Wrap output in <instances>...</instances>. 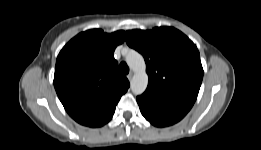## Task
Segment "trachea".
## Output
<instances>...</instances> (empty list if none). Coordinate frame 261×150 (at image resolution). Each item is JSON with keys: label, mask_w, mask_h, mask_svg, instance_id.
Wrapping results in <instances>:
<instances>
[{"label": "trachea", "mask_w": 261, "mask_h": 150, "mask_svg": "<svg viewBox=\"0 0 261 150\" xmlns=\"http://www.w3.org/2000/svg\"><path fill=\"white\" fill-rule=\"evenodd\" d=\"M119 68H120V70L123 74L129 73V67L125 62H121L120 65H119Z\"/></svg>", "instance_id": "trachea-1"}]
</instances>
